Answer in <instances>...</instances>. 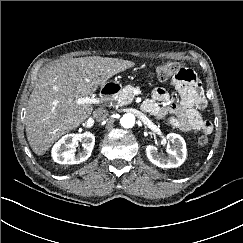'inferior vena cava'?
I'll return each instance as SVG.
<instances>
[{
  "label": "inferior vena cava",
  "instance_id": "602c4592",
  "mask_svg": "<svg viewBox=\"0 0 243 243\" xmlns=\"http://www.w3.org/2000/svg\"><path fill=\"white\" fill-rule=\"evenodd\" d=\"M108 110L104 108H98L93 112V117L96 121L101 122L104 121L108 117Z\"/></svg>",
  "mask_w": 243,
  "mask_h": 243
}]
</instances>
